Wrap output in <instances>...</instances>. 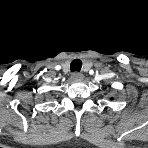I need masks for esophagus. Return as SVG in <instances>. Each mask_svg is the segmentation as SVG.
<instances>
[{
	"label": "esophagus",
	"instance_id": "esophagus-1",
	"mask_svg": "<svg viewBox=\"0 0 148 148\" xmlns=\"http://www.w3.org/2000/svg\"><path fill=\"white\" fill-rule=\"evenodd\" d=\"M72 79L74 81H82L84 79V75L82 73L75 72L72 74Z\"/></svg>",
	"mask_w": 148,
	"mask_h": 148
}]
</instances>
